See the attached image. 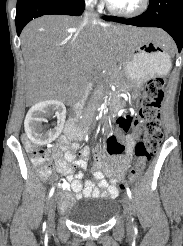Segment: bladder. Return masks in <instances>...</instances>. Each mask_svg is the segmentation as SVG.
I'll return each mask as SVG.
<instances>
[{"label":"bladder","mask_w":183,"mask_h":246,"mask_svg":"<svg viewBox=\"0 0 183 246\" xmlns=\"http://www.w3.org/2000/svg\"><path fill=\"white\" fill-rule=\"evenodd\" d=\"M118 210V203L104 195L90 197L81 204L73 206L67 217L80 226H100L109 222Z\"/></svg>","instance_id":"obj_1"}]
</instances>
